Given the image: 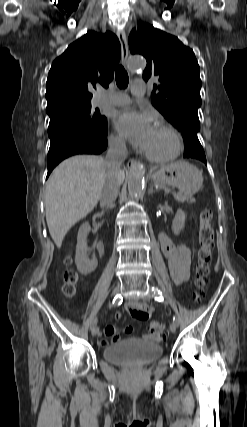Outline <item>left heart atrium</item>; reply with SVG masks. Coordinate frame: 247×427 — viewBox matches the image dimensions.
<instances>
[{"instance_id": "1", "label": "left heart atrium", "mask_w": 247, "mask_h": 427, "mask_svg": "<svg viewBox=\"0 0 247 427\" xmlns=\"http://www.w3.org/2000/svg\"><path fill=\"white\" fill-rule=\"evenodd\" d=\"M117 131L133 145L145 149L156 129L150 114L123 110L114 118Z\"/></svg>"}]
</instances>
